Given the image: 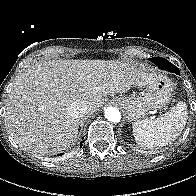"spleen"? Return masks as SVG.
I'll return each instance as SVG.
<instances>
[{"label":"spleen","mask_w":196,"mask_h":196,"mask_svg":"<svg viewBox=\"0 0 196 196\" xmlns=\"http://www.w3.org/2000/svg\"><path fill=\"white\" fill-rule=\"evenodd\" d=\"M186 103L180 101L167 113L155 120H137L132 124L138 144L148 148L163 147L176 139L187 122Z\"/></svg>","instance_id":"1"}]
</instances>
